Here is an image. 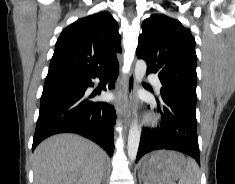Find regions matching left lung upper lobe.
<instances>
[{
  "mask_svg": "<svg viewBox=\"0 0 235 184\" xmlns=\"http://www.w3.org/2000/svg\"><path fill=\"white\" fill-rule=\"evenodd\" d=\"M136 50L147 63V72L158 73L161 94L175 93L196 105L195 40L189 29L163 14H153L142 23Z\"/></svg>",
  "mask_w": 235,
  "mask_h": 184,
  "instance_id": "obj_1",
  "label": "left lung upper lobe"
}]
</instances>
